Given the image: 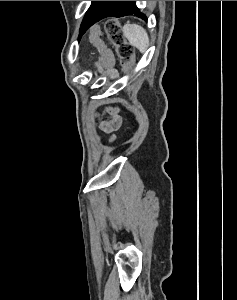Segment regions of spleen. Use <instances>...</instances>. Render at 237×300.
<instances>
[{
	"label": "spleen",
	"mask_w": 237,
	"mask_h": 300,
	"mask_svg": "<svg viewBox=\"0 0 237 300\" xmlns=\"http://www.w3.org/2000/svg\"><path fill=\"white\" fill-rule=\"evenodd\" d=\"M123 33L130 45L136 47L140 53H145L149 47V37L140 25H124Z\"/></svg>",
	"instance_id": "1"
}]
</instances>
